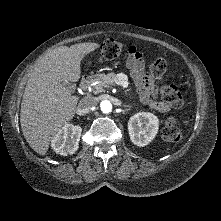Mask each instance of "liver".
I'll return each mask as SVG.
<instances>
[{"instance_id":"obj_1","label":"liver","mask_w":221,"mask_h":221,"mask_svg":"<svg viewBox=\"0 0 221 221\" xmlns=\"http://www.w3.org/2000/svg\"><path fill=\"white\" fill-rule=\"evenodd\" d=\"M100 44L86 42L60 46L46 52L32 71L21 103L22 133L40 155L48 152L56 133L75 115L78 96H72L62 82H77L81 62Z\"/></svg>"}]
</instances>
